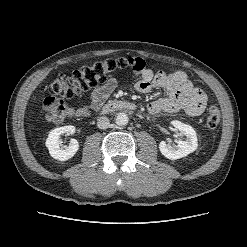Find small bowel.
Returning <instances> with one entry per match:
<instances>
[{
	"mask_svg": "<svg viewBox=\"0 0 247 247\" xmlns=\"http://www.w3.org/2000/svg\"><path fill=\"white\" fill-rule=\"evenodd\" d=\"M134 74L139 77L135 88L141 93H148L152 89L159 88L167 92L163 98L152 101L148 105L151 114L160 112L175 113L185 112L189 116H198L203 113L207 96L199 88L193 86L187 74L181 70L170 72H153L141 58H131ZM117 86L114 77L108 79L104 84L96 87L90 96V108H79L76 115L86 117L91 109H95L106 100Z\"/></svg>",
	"mask_w": 247,
	"mask_h": 247,
	"instance_id": "c3829d8e",
	"label": "small bowel"
}]
</instances>
